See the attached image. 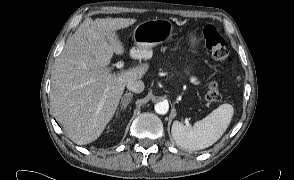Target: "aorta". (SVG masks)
Returning <instances> with one entry per match:
<instances>
[{"mask_svg": "<svg viewBox=\"0 0 294 180\" xmlns=\"http://www.w3.org/2000/svg\"><path fill=\"white\" fill-rule=\"evenodd\" d=\"M154 109L156 113L164 115L169 111V103L167 101L158 102L155 104Z\"/></svg>", "mask_w": 294, "mask_h": 180, "instance_id": "aorta-1", "label": "aorta"}]
</instances>
